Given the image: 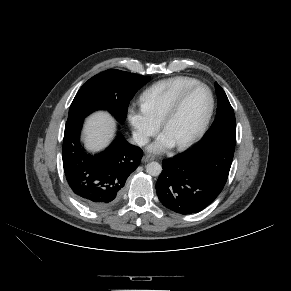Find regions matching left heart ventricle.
Returning a JSON list of instances; mask_svg holds the SVG:
<instances>
[{
    "mask_svg": "<svg viewBox=\"0 0 291 291\" xmlns=\"http://www.w3.org/2000/svg\"><path fill=\"white\" fill-rule=\"evenodd\" d=\"M210 104L209 94L204 88L192 91L176 115L167 124L166 133L175 145L190 138L202 123Z\"/></svg>",
    "mask_w": 291,
    "mask_h": 291,
    "instance_id": "obj_1",
    "label": "left heart ventricle"
}]
</instances>
